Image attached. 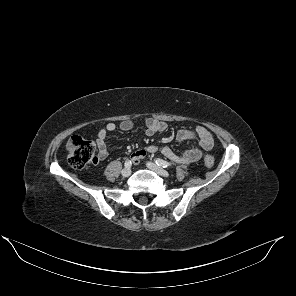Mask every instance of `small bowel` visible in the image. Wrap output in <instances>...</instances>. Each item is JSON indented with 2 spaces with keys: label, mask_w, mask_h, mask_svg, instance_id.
<instances>
[{
  "label": "small bowel",
  "mask_w": 296,
  "mask_h": 296,
  "mask_svg": "<svg viewBox=\"0 0 296 296\" xmlns=\"http://www.w3.org/2000/svg\"><path fill=\"white\" fill-rule=\"evenodd\" d=\"M143 125L147 135L151 136L155 133L166 130L167 124L164 121L146 117L143 120ZM117 128L121 131L128 132L135 128V122L133 120H124L119 125L115 123L106 124L97 135L96 143L98 147V157L100 160L107 158L109 151L106 145V138L109 133L114 132ZM176 139L179 142L185 140H196V144L184 150L182 154H176L171 148L167 146L149 145L144 149L135 152L131 159L134 164H139L147 154H154L157 152L162 153L165 157L173 162L180 164H189L198 161L202 157L203 151H210L213 148V138L209 131L203 126H197L194 130L183 129L177 132Z\"/></svg>",
  "instance_id": "1"
}]
</instances>
